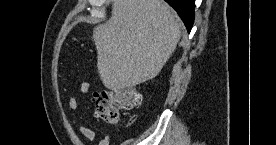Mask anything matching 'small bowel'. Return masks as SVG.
I'll use <instances>...</instances> for the list:
<instances>
[{
  "label": "small bowel",
  "mask_w": 276,
  "mask_h": 145,
  "mask_svg": "<svg viewBox=\"0 0 276 145\" xmlns=\"http://www.w3.org/2000/svg\"><path fill=\"white\" fill-rule=\"evenodd\" d=\"M80 90L83 94H89L91 89L87 82H84L80 86ZM77 109V100L74 96H70L67 100V110L69 113H73ZM78 132L88 141H93L95 139V133L92 129L86 126H78ZM99 145H110V136L106 135L99 142Z\"/></svg>",
  "instance_id": "small-bowel-1"
}]
</instances>
